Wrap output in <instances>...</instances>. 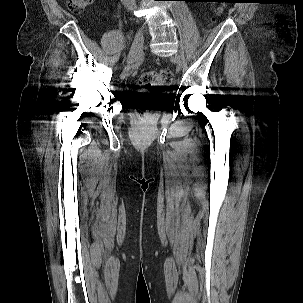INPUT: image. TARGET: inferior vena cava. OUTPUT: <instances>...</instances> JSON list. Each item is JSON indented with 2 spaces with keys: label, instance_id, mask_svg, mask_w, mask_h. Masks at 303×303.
<instances>
[{
  "label": "inferior vena cava",
  "instance_id": "obj_1",
  "mask_svg": "<svg viewBox=\"0 0 303 303\" xmlns=\"http://www.w3.org/2000/svg\"><path fill=\"white\" fill-rule=\"evenodd\" d=\"M121 2L130 11L136 8V0H121Z\"/></svg>",
  "mask_w": 303,
  "mask_h": 303
}]
</instances>
